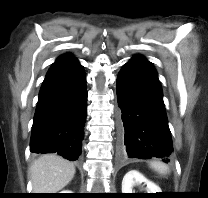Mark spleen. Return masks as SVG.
<instances>
[{"label": "spleen", "mask_w": 208, "mask_h": 198, "mask_svg": "<svg viewBox=\"0 0 208 198\" xmlns=\"http://www.w3.org/2000/svg\"><path fill=\"white\" fill-rule=\"evenodd\" d=\"M150 167L161 175H166L169 173L168 166L162 162L153 161L150 163Z\"/></svg>", "instance_id": "3e777b00"}]
</instances>
